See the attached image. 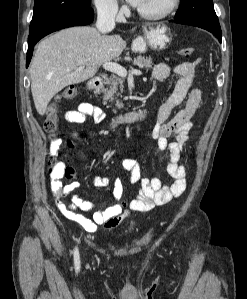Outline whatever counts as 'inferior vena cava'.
<instances>
[{
    "label": "inferior vena cava",
    "mask_w": 247,
    "mask_h": 299,
    "mask_svg": "<svg viewBox=\"0 0 247 299\" xmlns=\"http://www.w3.org/2000/svg\"><path fill=\"white\" fill-rule=\"evenodd\" d=\"M117 11L116 4H106L98 7L96 27L101 33H106L114 29Z\"/></svg>",
    "instance_id": "1"
}]
</instances>
